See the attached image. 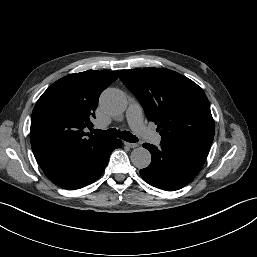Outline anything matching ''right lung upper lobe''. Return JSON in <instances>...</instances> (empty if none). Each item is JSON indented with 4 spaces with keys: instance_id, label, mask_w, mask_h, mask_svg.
Here are the masks:
<instances>
[{
    "instance_id": "cb5924a9",
    "label": "right lung upper lobe",
    "mask_w": 257,
    "mask_h": 257,
    "mask_svg": "<svg viewBox=\"0 0 257 257\" xmlns=\"http://www.w3.org/2000/svg\"><path fill=\"white\" fill-rule=\"evenodd\" d=\"M118 78V71L88 70L53 83L38 99L31 117V147L47 170L77 158L108 139L84 132L93 126L101 92ZM87 135H89L87 137Z\"/></svg>"
}]
</instances>
